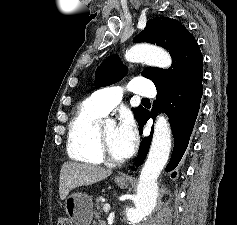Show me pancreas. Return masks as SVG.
Masks as SVG:
<instances>
[{"label":"pancreas","instance_id":"pancreas-1","mask_svg":"<svg viewBox=\"0 0 237 225\" xmlns=\"http://www.w3.org/2000/svg\"><path fill=\"white\" fill-rule=\"evenodd\" d=\"M96 212H95V215H96V218L97 219H100L101 218V215H102V203H101V197H97L96 198Z\"/></svg>","mask_w":237,"mask_h":225}]
</instances>
